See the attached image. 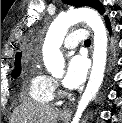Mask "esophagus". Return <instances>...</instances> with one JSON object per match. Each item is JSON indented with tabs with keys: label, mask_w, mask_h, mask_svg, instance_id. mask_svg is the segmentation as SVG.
Instances as JSON below:
<instances>
[{
	"label": "esophagus",
	"mask_w": 122,
	"mask_h": 123,
	"mask_svg": "<svg viewBox=\"0 0 122 123\" xmlns=\"http://www.w3.org/2000/svg\"><path fill=\"white\" fill-rule=\"evenodd\" d=\"M63 116H70L71 114V110L70 108H65L62 113H61Z\"/></svg>",
	"instance_id": "esophagus-1"
}]
</instances>
